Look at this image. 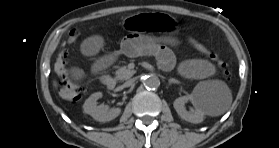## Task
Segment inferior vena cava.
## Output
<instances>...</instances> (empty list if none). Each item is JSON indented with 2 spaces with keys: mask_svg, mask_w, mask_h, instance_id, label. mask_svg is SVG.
<instances>
[{
  "mask_svg": "<svg viewBox=\"0 0 279 148\" xmlns=\"http://www.w3.org/2000/svg\"><path fill=\"white\" fill-rule=\"evenodd\" d=\"M134 83V79L128 80L127 82H125V86H131Z\"/></svg>",
  "mask_w": 279,
  "mask_h": 148,
  "instance_id": "1",
  "label": "inferior vena cava"
}]
</instances>
